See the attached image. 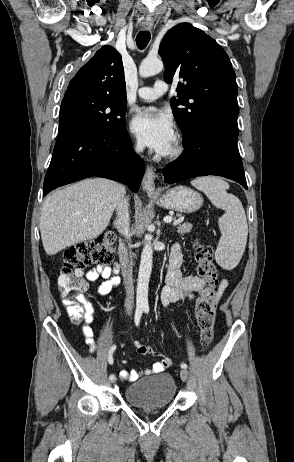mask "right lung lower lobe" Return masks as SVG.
I'll return each instance as SVG.
<instances>
[{"label":"right lung lower lobe","instance_id":"right-lung-lower-lobe-1","mask_svg":"<svg viewBox=\"0 0 294 462\" xmlns=\"http://www.w3.org/2000/svg\"><path fill=\"white\" fill-rule=\"evenodd\" d=\"M144 162L136 156L125 126L57 138L45 176L43 196L51 190L97 176L123 182L138 191Z\"/></svg>","mask_w":294,"mask_h":462}]
</instances>
